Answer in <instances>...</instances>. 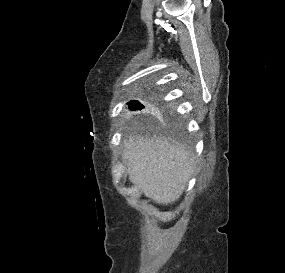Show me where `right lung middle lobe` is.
<instances>
[{"instance_id":"right-lung-middle-lobe-1","label":"right lung middle lobe","mask_w":285,"mask_h":273,"mask_svg":"<svg viewBox=\"0 0 285 273\" xmlns=\"http://www.w3.org/2000/svg\"><path fill=\"white\" fill-rule=\"evenodd\" d=\"M128 104L130 109L141 110L143 108L142 104H140L138 101H131Z\"/></svg>"}]
</instances>
